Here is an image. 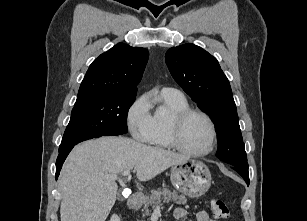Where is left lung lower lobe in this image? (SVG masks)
<instances>
[{
  "label": "left lung lower lobe",
  "instance_id": "obj_1",
  "mask_svg": "<svg viewBox=\"0 0 307 221\" xmlns=\"http://www.w3.org/2000/svg\"><path fill=\"white\" fill-rule=\"evenodd\" d=\"M232 168L237 171L242 177L243 179L246 181V184L249 185V174H248V171L247 170H242L238 167H234L232 166Z\"/></svg>",
  "mask_w": 307,
  "mask_h": 221
}]
</instances>
